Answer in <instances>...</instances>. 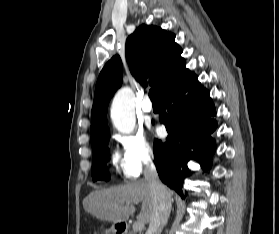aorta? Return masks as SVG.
<instances>
[{"instance_id":"1","label":"aorta","mask_w":279,"mask_h":234,"mask_svg":"<svg viewBox=\"0 0 279 234\" xmlns=\"http://www.w3.org/2000/svg\"><path fill=\"white\" fill-rule=\"evenodd\" d=\"M111 119L114 127L121 133H131L135 127L134 94L128 87L120 89L112 102Z\"/></svg>"}]
</instances>
